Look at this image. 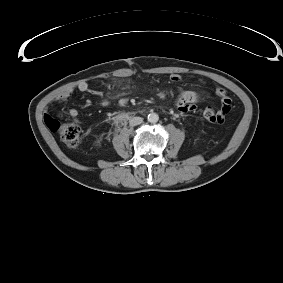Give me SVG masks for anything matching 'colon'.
<instances>
[{"instance_id": "obj_1", "label": "colon", "mask_w": 283, "mask_h": 283, "mask_svg": "<svg viewBox=\"0 0 283 283\" xmlns=\"http://www.w3.org/2000/svg\"><path fill=\"white\" fill-rule=\"evenodd\" d=\"M230 102L226 101V105L216 110L212 107H206L203 111V117L210 123L224 122L226 115L230 111ZM46 126L53 132L59 134L60 139L69 147H75L80 140V128L73 123L61 122L50 115L44 117Z\"/></svg>"}]
</instances>
